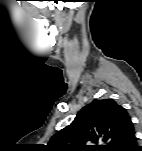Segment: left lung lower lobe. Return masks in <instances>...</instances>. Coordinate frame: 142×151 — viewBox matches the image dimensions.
I'll use <instances>...</instances> for the list:
<instances>
[{
    "label": "left lung lower lobe",
    "mask_w": 142,
    "mask_h": 151,
    "mask_svg": "<svg viewBox=\"0 0 142 151\" xmlns=\"http://www.w3.org/2000/svg\"><path fill=\"white\" fill-rule=\"evenodd\" d=\"M117 151H142V147L137 146L135 131L125 138Z\"/></svg>",
    "instance_id": "0a47b994"
}]
</instances>
